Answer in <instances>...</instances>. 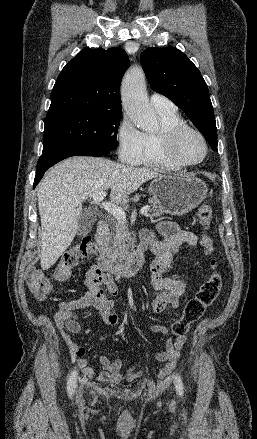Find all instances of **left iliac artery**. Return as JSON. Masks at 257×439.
<instances>
[{"label": "left iliac artery", "instance_id": "left-iliac-artery-1", "mask_svg": "<svg viewBox=\"0 0 257 439\" xmlns=\"http://www.w3.org/2000/svg\"><path fill=\"white\" fill-rule=\"evenodd\" d=\"M174 379H175L176 390H177L178 394L180 396H182L184 393V385H183L182 379L179 375H175Z\"/></svg>", "mask_w": 257, "mask_h": 439}]
</instances>
